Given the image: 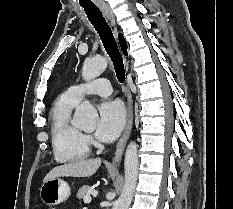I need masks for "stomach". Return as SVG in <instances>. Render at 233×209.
I'll list each match as a JSON object with an SVG mask.
<instances>
[{
	"label": "stomach",
	"instance_id": "obj_1",
	"mask_svg": "<svg viewBox=\"0 0 233 209\" xmlns=\"http://www.w3.org/2000/svg\"><path fill=\"white\" fill-rule=\"evenodd\" d=\"M70 194L69 184L59 177L47 180L40 188V198L49 206L61 204L69 198Z\"/></svg>",
	"mask_w": 233,
	"mask_h": 209
}]
</instances>
